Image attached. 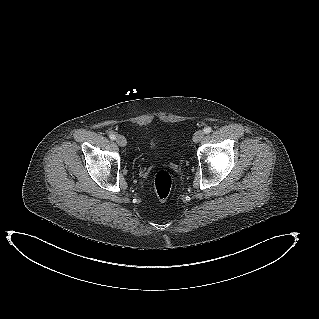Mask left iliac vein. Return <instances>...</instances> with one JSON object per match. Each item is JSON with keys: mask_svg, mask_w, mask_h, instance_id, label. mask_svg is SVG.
I'll return each mask as SVG.
<instances>
[{"mask_svg": "<svg viewBox=\"0 0 319 319\" xmlns=\"http://www.w3.org/2000/svg\"><path fill=\"white\" fill-rule=\"evenodd\" d=\"M204 137V132L203 131H196L193 135V141L195 143H198L201 141V139Z\"/></svg>", "mask_w": 319, "mask_h": 319, "instance_id": "obj_1", "label": "left iliac vein"}]
</instances>
